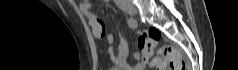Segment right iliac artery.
I'll use <instances>...</instances> for the list:
<instances>
[{"instance_id": "right-iliac-artery-1", "label": "right iliac artery", "mask_w": 238, "mask_h": 70, "mask_svg": "<svg viewBox=\"0 0 238 70\" xmlns=\"http://www.w3.org/2000/svg\"><path fill=\"white\" fill-rule=\"evenodd\" d=\"M127 22H128L129 27H131V28L137 27V22L133 18H129Z\"/></svg>"}]
</instances>
